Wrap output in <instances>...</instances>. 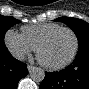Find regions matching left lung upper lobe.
Masks as SVG:
<instances>
[{"label": "left lung upper lobe", "mask_w": 89, "mask_h": 89, "mask_svg": "<svg viewBox=\"0 0 89 89\" xmlns=\"http://www.w3.org/2000/svg\"><path fill=\"white\" fill-rule=\"evenodd\" d=\"M55 21H60L69 26L76 34L79 42V51L89 49V24L85 21L71 17H60Z\"/></svg>", "instance_id": "1"}]
</instances>
